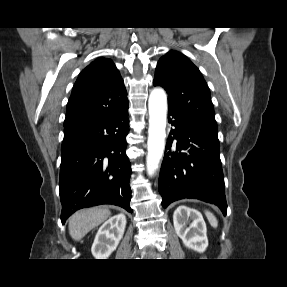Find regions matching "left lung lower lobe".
<instances>
[{"mask_svg":"<svg viewBox=\"0 0 287 287\" xmlns=\"http://www.w3.org/2000/svg\"><path fill=\"white\" fill-rule=\"evenodd\" d=\"M171 129L161 166L158 189L162 206L184 199H199L227 212L218 137L168 109Z\"/></svg>","mask_w":287,"mask_h":287,"instance_id":"0a47b994","label":"left lung lower lobe"}]
</instances>
